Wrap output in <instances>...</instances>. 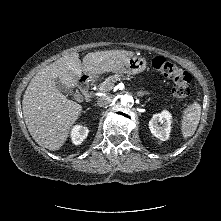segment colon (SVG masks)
Returning <instances> with one entry per match:
<instances>
[{
  "mask_svg": "<svg viewBox=\"0 0 221 221\" xmlns=\"http://www.w3.org/2000/svg\"><path fill=\"white\" fill-rule=\"evenodd\" d=\"M153 68L173 82V95L178 99L186 98L190 93L191 75L173 62L157 56L152 60Z\"/></svg>",
  "mask_w": 221,
  "mask_h": 221,
  "instance_id": "obj_1",
  "label": "colon"
}]
</instances>
